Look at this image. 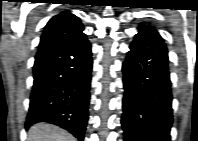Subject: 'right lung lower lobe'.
Here are the masks:
<instances>
[{
	"label": "right lung lower lobe",
	"mask_w": 198,
	"mask_h": 141,
	"mask_svg": "<svg viewBox=\"0 0 198 141\" xmlns=\"http://www.w3.org/2000/svg\"><path fill=\"white\" fill-rule=\"evenodd\" d=\"M91 71V44L83 32L38 51L26 129L45 121L68 130L83 141L88 121Z\"/></svg>",
	"instance_id": "98d812e1"
}]
</instances>
